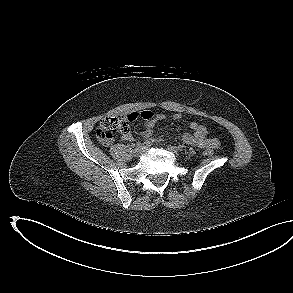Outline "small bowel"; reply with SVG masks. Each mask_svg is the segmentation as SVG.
Masks as SVG:
<instances>
[{
    "label": "small bowel",
    "instance_id": "obj_1",
    "mask_svg": "<svg viewBox=\"0 0 293 293\" xmlns=\"http://www.w3.org/2000/svg\"><path fill=\"white\" fill-rule=\"evenodd\" d=\"M141 117L144 120L145 131L144 136L146 138H151L153 134L154 126L166 119V116L161 113H154L151 110L144 111H135L131 112L126 116L129 121H134L137 118ZM174 119H180V114H174ZM190 128L192 130L191 133H184L182 136V140L184 143L195 146L202 149H216L219 147V141L216 138H208L207 137V129L205 126L193 121L190 123ZM122 139L125 141H133L134 136L131 132L125 133L122 135Z\"/></svg>",
    "mask_w": 293,
    "mask_h": 293
}]
</instances>
